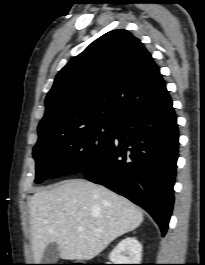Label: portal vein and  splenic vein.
Returning a JSON list of instances; mask_svg holds the SVG:
<instances>
[{
    "label": "portal vein and splenic vein",
    "mask_w": 205,
    "mask_h": 265,
    "mask_svg": "<svg viewBox=\"0 0 205 265\" xmlns=\"http://www.w3.org/2000/svg\"><path fill=\"white\" fill-rule=\"evenodd\" d=\"M77 230H78L79 232H81V231H83V227H78Z\"/></svg>",
    "instance_id": "1"
}]
</instances>
